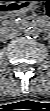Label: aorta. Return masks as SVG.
Segmentation results:
<instances>
[{
    "instance_id": "1",
    "label": "aorta",
    "mask_w": 50,
    "mask_h": 111,
    "mask_svg": "<svg viewBox=\"0 0 50 111\" xmlns=\"http://www.w3.org/2000/svg\"><path fill=\"white\" fill-rule=\"evenodd\" d=\"M25 34L28 38H37L39 35V30L35 27H29L26 29Z\"/></svg>"
}]
</instances>
